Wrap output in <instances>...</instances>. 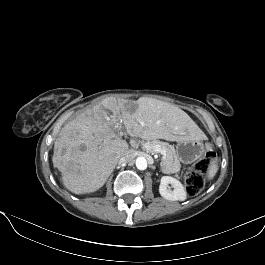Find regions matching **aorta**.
Listing matches in <instances>:
<instances>
[{"label": "aorta", "mask_w": 265, "mask_h": 265, "mask_svg": "<svg viewBox=\"0 0 265 265\" xmlns=\"http://www.w3.org/2000/svg\"><path fill=\"white\" fill-rule=\"evenodd\" d=\"M135 164H136L137 169L139 170H145L148 165L146 158L143 156L137 157L135 160Z\"/></svg>", "instance_id": "aorta-1"}]
</instances>
